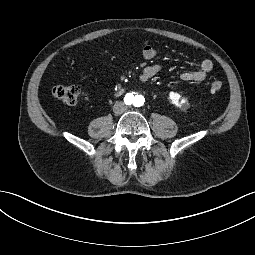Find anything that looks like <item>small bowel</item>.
I'll return each mask as SVG.
<instances>
[{"label":"small bowel","mask_w":255,"mask_h":255,"mask_svg":"<svg viewBox=\"0 0 255 255\" xmlns=\"http://www.w3.org/2000/svg\"><path fill=\"white\" fill-rule=\"evenodd\" d=\"M142 55L144 59L152 60L157 56V50L152 45H146L142 50ZM212 68V61L209 59H204L199 63L198 69L183 72L180 77L184 81H202L206 78L207 74L212 70ZM162 70L163 65L159 63L144 67L138 77L139 83H147Z\"/></svg>","instance_id":"small-bowel-1"}]
</instances>
